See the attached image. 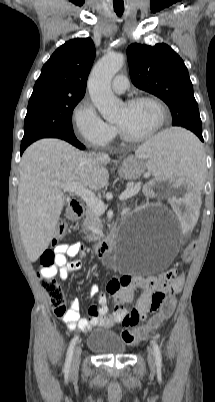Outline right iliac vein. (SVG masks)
Here are the masks:
<instances>
[{
    "label": "right iliac vein",
    "mask_w": 215,
    "mask_h": 402,
    "mask_svg": "<svg viewBox=\"0 0 215 402\" xmlns=\"http://www.w3.org/2000/svg\"><path fill=\"white\" fill-rule=\"evenodd\" d=\"M81 352H82L81 347L77 346L74 351V354H73V360H72V366H71V374L72 375H75L79 369Z\"/></svg>",
    "instance_id": "right-iliac-vein-1"
}]
</instances>
